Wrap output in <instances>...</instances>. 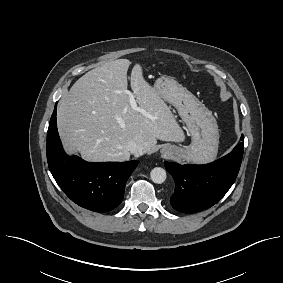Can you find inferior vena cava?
<instances>
[{
    "label": "inferior vena cava",
    "instance_id": "inferior-vena-cava-1",
    "mask_svg": "<svg viewBox=\"0 0 283 283\" xmlns=\"http://www.w3.org/2000/svg\"><path fill=\"white\" fill-rule=\"evenodd\" d=\"M127 149L135 155H141L144 152L143 147L135 141H130L127 145Z\"/></svg>",
    "mask_w": 283,
    "mask_h": 283
}]
</instances>
